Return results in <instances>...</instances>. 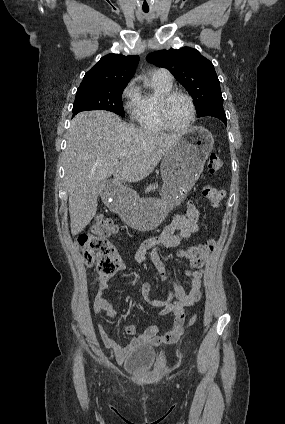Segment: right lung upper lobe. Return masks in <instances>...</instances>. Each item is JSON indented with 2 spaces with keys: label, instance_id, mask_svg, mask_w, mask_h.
I'll return each instance as SVG.
<instances>
[{
  "label": "right lung upper lobe",
  "instance_id": "cb5924a9",
  "mask_svg": "<svg viewBox=\"0 0 285 424\" xmlns=\"http://www.w3.org/2000/svg\"><path fill=\"white\" fill-rule=\"evenodd\" d=\"M138 62L137 55L108 54L85 74L79 87L128 83L134 76Z\"/></svg>",
  "mask_w": 285,
  "mask_h": 424
}]
</instances>
